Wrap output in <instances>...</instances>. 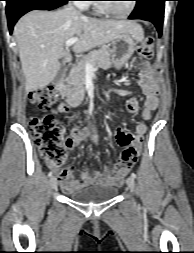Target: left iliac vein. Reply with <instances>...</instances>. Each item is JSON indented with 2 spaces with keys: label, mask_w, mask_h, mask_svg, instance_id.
Wrapping results in <instances>:
<instances>
[{
  "label": "left iliac vein",
  "mask_w": 194,
  "mask_h": 253,
  "mask_svg": "<svg viewBox=\"0 0 194 253\" xmlns=\"http://www.w3.org/2000/svg\"><path fill=\"white\" fill-rule=\"evenodd\" d=\"M127 186H128V188L130 189L131 192L134 191V187H135L134 178L129 177V178L127 179Z\"/></svg>",
  "instance_id": "left-iliac-vein-1"
}]
</instances>
